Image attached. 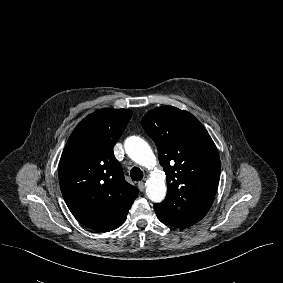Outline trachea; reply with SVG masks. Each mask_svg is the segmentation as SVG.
Segmentation results:
<instances>
[{"label":"trachea","mask_w":283,"mask_h":283,"mask_svg":"<svg viewBox=\"0 0 283 283\" xmlns=\"http://www.w3.org/2000/svg\"><path fill=\"white\" fill-rule=\"evenodd\" d=\"M130 176L133 181H140L143 178V172L138 167H133L130 171Z\"/></svg>","instance_id":"trachea-1"}]
</instances>
